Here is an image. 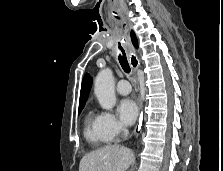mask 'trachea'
I'll list each match as a JSON object with an SVG mask.
<instances>
[{
	"instance_id": "trachea-1",
	"label": "trachea",
	"mask_w": 223,
	"mask_h": 171,
	"mask_svg": "<svg viewBox=\"0 0 223 171\" xmlns=\"http://www.w3.org/2000/svg\"><path fill=\"white\" fill-rule=\"evenodd\" d=\"M119 49H120V54H119V63L122 67V69L126 72V73H130L131 69L125 54L124 49L121 47V45L119 44ZM133 60H135V58H133Z\"/></svg>"
}]
</instances>
